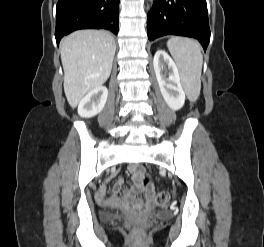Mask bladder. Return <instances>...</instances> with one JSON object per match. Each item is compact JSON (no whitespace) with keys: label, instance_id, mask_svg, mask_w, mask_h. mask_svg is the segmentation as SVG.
<instances>
[{"label":"bladder","instance_id":"obj_1","mask_svg":"<svg viewBox=\"0 0 264 247\" xmlns=\"http://www.w3.org/2000/svg\"><path fill=\"white\" fill-rule=\"evenodd\" d=\"M122 215H123L122 212L115 209H111V210L102 211L100 214V218L105 222H112L121 219ZM160 215H161L160 213H157L155 214V217H158Z\"/></svg>","mask_w":264,"mask_h":247}]
</instances>
